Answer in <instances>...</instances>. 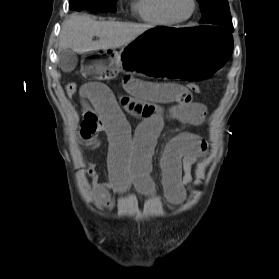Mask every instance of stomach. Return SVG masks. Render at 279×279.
<instances>
[{
  "label": "stomach",
  "instance_id": "stomach-1",
  "mask_svg": "<svg viewBox=\"0 0 279 279\" xmlns=\"http://www.w3.org/2000/svg\"><path fill=\"white\" fill-rule=\"evenodd\" d=\"M223 28V24L154 25L120 52L83 50L75 75L83 82H110L126 69L125 75L139 72L156 82H213L234 55L231 34L213 30Z\"/></svg>",
  "mask_w": 279,
  "mask_h": 279
}]
</instances>
